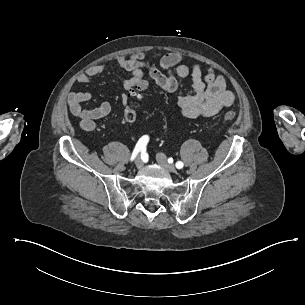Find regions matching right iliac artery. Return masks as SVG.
I'll use <instances>...</instances> for the list:
<instances>
[{
  "label": "right iliac artery",
  "mask_w": 305,
  "mask_h": 305,
  "mask_svg": "<svg viewBox=\"0 0 305 305\" xmlns=\"http://www.w3.org/2000/svg\"><path fill=\"white\" fill-rule=\"evenodd\" d=\"M148 141H149L148 135H144L139 139V141L137 142L135 149L132 153L131 161H133L135 159V157L137 156V154L140 151H143L146 149V145H147Z\"/></svg>",
  "instance_id": "right-iliac-artery-1"
}]
</instances>
